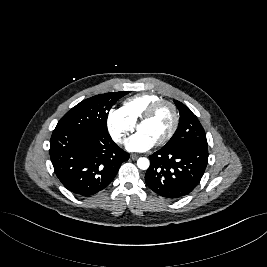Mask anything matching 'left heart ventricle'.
Instances as JSON below:
<instances>
[{"instance_id":"b2bd125f","label":"left heart ventricle","mask_w":267,"mask_h":267,"mask_svg":"<svg viewBox=\"0 0 267 267\" xmlns=\"http://www.w3.org/2000/svg\"><path fill=\"white\" fill-rule=\"evenodd\" d=\"M172 123L173 114L170 107L163 106L149 121L143 123L138 130L158 142L169 132Z\"/></svg>"}]
</instances>
